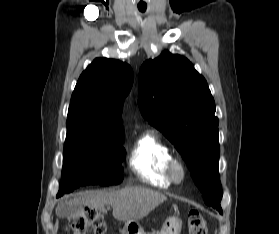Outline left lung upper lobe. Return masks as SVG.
<instances>
[{"mask_svg":"<svg viewBox=\"0 0 279 234\" xmlns=\"http://www.w3.org/2000/svg\"><path fill=\"white\" fill-rule=\"evenodd\" d=\"M138 97L143 117L182 155L204 202L222 214L218 118L204 77L188 59L164 51L141 66Z\"/></svg>","mask_w":279,"mask_h":234,"instance_id":"5c2ea615","label":"left lung upper lobe"}]
</instances>
